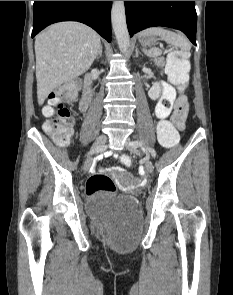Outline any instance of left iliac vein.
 <instances>
[{
    "label": "left iliac vein",
    "instance_id": "obj_1",
    "mask_svg": "<svg viewBox=\"0 0 233 295\" xmlns=\"http://www.w3.org/2000/svg\"><path fill=\"white\" fill-rule=\"evenodd\" d=\"M132 141H133V140H130V139H128V140L126 141V147H127V149L130 150V151L133 152V153L139 154L140 152H139V150H138V147H139L140 145H133V144L131 143ZM144 164H145V169H146V171H147L148 173H152L154 167H153V164H152V162H151V160L149 159L148 156H146V157L144 158Z\"/></svg>",
    "mask_w": 233,
    "mask_h": 295
}]
</instances>
